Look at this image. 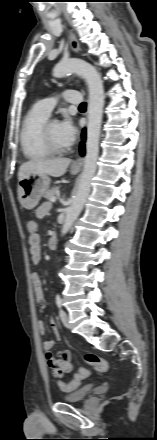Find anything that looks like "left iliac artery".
Masks as SVG:
<instances>
[{
	"label": "left iliac artery",
	"instance_id": "44dca946",
	"mask_svg": "<svg viewBox=\"0 0 157 440\" xmlns=\"http://www.w3.org/2000/svg\"><path fill=\"white\" fill-rule=\"evenodd\" d=\"M56 304L58 307H61V305H62V300H61L59 294L56 295Z\"/></svg>",
	"mask_w": 157,
	"mask_h": 440
}]
</instances>
